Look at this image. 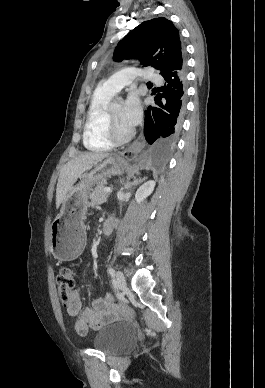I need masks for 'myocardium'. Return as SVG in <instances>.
Instances as JSON below:
<instances>
[{
    "label": "myocardium",
    "instance_id": "myocardium-1",
    "mask_svg": "<svg viewBox=\"0 0 265 388\" xmlns=\"http://www.w3.org/2000/svg\"><path fill=\"white\" fill-rule=\"evenodd\" d=\"M97 91H117V90H106L105 87L98 89ZM103 132L107 139L115 143H122L129 140L133 134V129L120 130L114 120L112 119L110 109L107 108L103 118Z\"/></svg>",
    "mask_w": 265,
    "mask_h": 388
}]
</instances>
